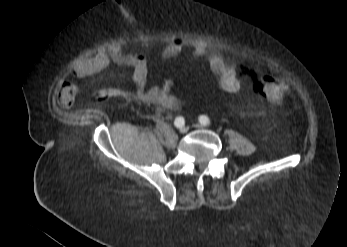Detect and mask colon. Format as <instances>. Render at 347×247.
<instances>
[{
	"label": "colon",
	"instance_id": "5ec220e1",
	"mask_svg": "<svg viewBox=\"0 0 347 247\" xmlns=\"http://www.w3.org/2000/svg\"><path fill=\"white\" fill-rule=\"evenodd\" d=\"M258 90L262 93V99L268 104L281 103L286 96V89L279 77L270 70L262 71L257 78ZM118 96L112 92L98 93V101Z\"/></svg>",
	"mask_w": 347,
	"mask_h": 247
}]
</instances>
